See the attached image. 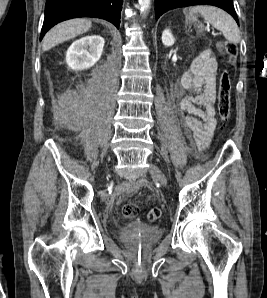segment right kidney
Listing matches in <instances>:
<instances>
[{
    "label": "right kidney",
    "mask_w": 267,
    "mask_h": 298,
    "mask_svg": "<svg viewBox=\"0 0 267 298\" xmlns=\"http://www.w3.org/2000/svg\"><path fill=\"white\" fill-rule=\"evenodd\" d=\"M105 41L100 35H90L74 41L66 53L67 65L73 70L94 66L101 58Z\"/></svg>",
    "instance_id": "right-kidney-1"
}]
</instances>
